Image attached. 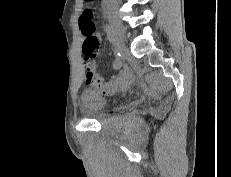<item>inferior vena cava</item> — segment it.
<instances>
[{
  "label": "inferior vena cava",
  "instance_id": "602c4592",
  "mask_svg": "<svg viewBox=\"0 0 231 177\" xmlns=\"http://www.w3.org/2000/svg\"><path fill=\"white\" fill-rule=\"evenodd\" d=\"M105 2L113 3L116 2V0H104Z\"/></svg>",
  "mask_w": 231,
  "mask_h": 177
}]
</instances>
